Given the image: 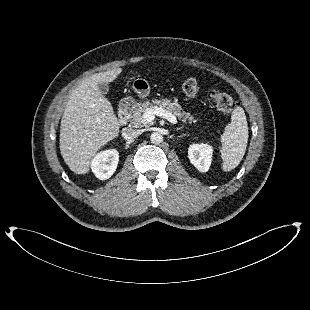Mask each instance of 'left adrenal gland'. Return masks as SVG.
<instances>
[{
  "mask_svg": "<svg viewBox=\"0 0 310 310\" xmlns=\"http://www.w3.org/2000/svg\"><path fill=\"white\" fill-rule=\"evenodd\" d=\"M182 129H184V127H179V128H177V130H182Z\"/></svg>",
  "mask_w": 310,
  "mask_h": 310,
  "instance_id": "left-adrenal-gland-1",
  "label": "left adrenal gland"
}]
</instances>
